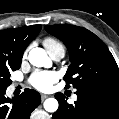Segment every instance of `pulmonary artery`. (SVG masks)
<instances>
[{
  "instance_id": "pulmonary-artery-1",
  "label": "pulmonary artery",
  "mask_w": 119,
  "mask_h": 119,
  "mask_svg": "<svg viewBox=\"0 0 119 119\" xmlns=\"http://www.w3.org/2000/svg\"><path fill=\"white\" fill-rule=\"evenodd\" d=\"M50 56L52 57L53 60L55 61H60L64 56H65V49L64 47H57L54 48L53 50L48 51ZM77 96L74 94L73 99H76Z\"/></svg>"
}]
</instances>
